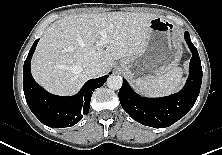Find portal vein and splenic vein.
I'll list each match as a JSON object with an SVG mask.
<instances>
[{
    "label": "portal vein and splenic vein",
    "mask_w": 222,
    "mask_h": 155,
    "mask_svg": "<svg viewBox=\"0 0 222 155\" xmlns=\"http://www.w3.org/2000/svg\"><path fill=\"white\" fill-rule=\"evenodd\" d=\"M101 40L96 44L97 46L101 47L108 42V33L105 30L100 31Z\"/></svg>",
    "instance_id": "obj_1"
}]
</instances>
